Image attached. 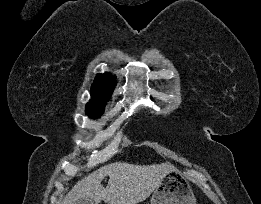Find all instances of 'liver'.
<instances>
[{
	"label": "liver",
	"mask_w": 261,
	"mask_h": 204,
	"mask_svg": "<svg viewBox=\"0 0 261 204\" xmlns=\"http://www.w3.org/2000/svg\"><path fill=\"white\" fill-rule=\"evenodd\" d=\"M169 164L135 165L115 162L90 173L74 185L61 204H75L78 199L89 198L96 204H137L147 199L165 175L173 171ZM109 176L107 187L101 182Z\"/></svg>",
	"instance_id": "liver-1"
}]
</instances>
